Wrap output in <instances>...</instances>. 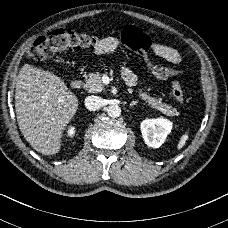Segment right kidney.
<instances>
[{
	"mask_svg": "<svg viewBox=\"0 0 228 228\" xmlns=\"http://www.w3.org/2000/svg\"><path fill=\"white\" fill-rule=\"evenodd\" d=\"M74 135H75V127L69 126V128L67 130V136L68 137H73Z\"/></svg>",
	"mask_w": 228,
	"mask_h": 228,
	"instance_id": "1",
	"label": "right kidney"
}]
</instances>
